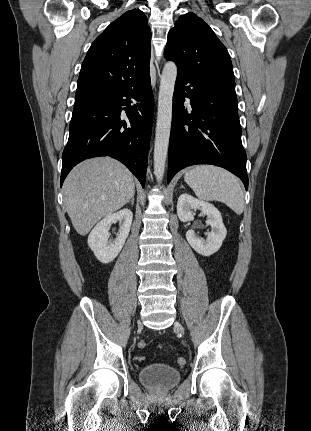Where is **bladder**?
<instances>
[{
	"label": "bladder",
	"instance_id": "obj_1",
	"mask_svg": "<svg viewBox=\"0 0 311 431\" xmlns=\"http://www.w3.org/2000/svg\"><path fill=\"white\" fill-rule=\"evenodd\" d=\"M138 379L149 389L167 391L180 382L181 372L168 364L152 363L138 371Z\"/></svg>",
	"mask_w": 311,
	"mask_h": 431
}]
</instances>
